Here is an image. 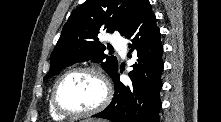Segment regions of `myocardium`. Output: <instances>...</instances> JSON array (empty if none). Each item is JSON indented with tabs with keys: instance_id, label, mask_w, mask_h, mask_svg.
<instances>
[{
	"instance_id": "1",
	"label": "myocardium",
	"mask_w": 221,
	"mask_h": 122,
	"mask_svg": "<svg viewBox=\"0 0 221 122\" xmlns=\"http://www.w3.org/2000/svg\"><path fill=\"white\" fill-rule=\"evenodd\" d=\"M76 73H89L94 76H96L102 83L103 89H104V95L102 100L98 105L95 107L85 110V111H71L66 108H64L58 100V90L61 85V83L69 76L76 74ZM112 96V90L110 83L106 76L97 68L90 67V66H80V67H75L72 68L65 73H63L55 82L52 92H51V103L54 108V110L61 114L64 117H73V118H80V117H87L94 115L100 111H102L106 106L109 104Z\"/></svg>"
}]
</instances>
